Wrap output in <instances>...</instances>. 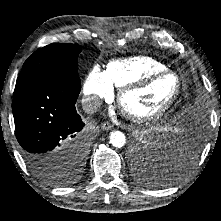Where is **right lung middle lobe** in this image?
Listing matches in <instances>:
<instances>
[{"instance_id":"dd1d6c3e","label":"right lung middle lobe","mask_w":221,"mask_h":221,"mask_svg":"<svg viewBox=\"0 0 221 221\" xmlns=\"http://www.w3.org/2000/svg\"><path fill=\"white\" fill-rule=\"evenodd\" d=\"M80 52L81 48L76 44L52 43L38 49L25 61L16 81L14 95L43 81H72L78 84L80 80L77 62ZM86 152L87 148L84 156L76 162L77 169L83 166ZM39 176L45 182L55 185H65L73 181V178L64 176L57 170L39 174Z\"/></svg>"}]
</instances>
